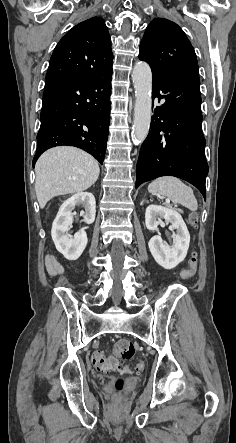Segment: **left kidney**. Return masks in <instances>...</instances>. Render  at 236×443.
Instances as JSON below:
<instances>
[{
	"label": "left kidney",
	"mask_w": 236,
	"mask_h": 443,
	"mask_svg": "<svg viewBox=\"0 0 236 443\" xmlns=\"http://www.w3.org/2000/svg\"><path fill=\"white\" fill-rule=\"evenodd\" d=\"M165 222L171 223V227L176 229V234H172L173 246L166 245L161 236H153L149 243V250L155 261L165 269H173L181 263L186 255L190 243V234L181 215L173 209L159 205H149L145 212V224L148 230H157L159 225Z\"/></svg>",
	"instance_id": "left-kidney-1"
}]
</instances>
